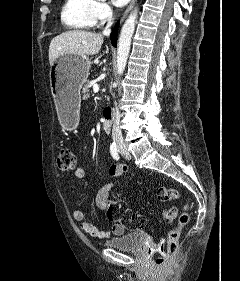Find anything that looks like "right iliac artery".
Segmentation results:
<instances>
[{"label": "right iliac artery", "instance_id": "82829eb1", "mask_svg": "<svg viewBox=\"0 0 240 281\" xmlns=\"http://www.w3.org/2000/svg\"><path fill=\"white\" fill-rule=\"evenodd\" d=\"M110 152H111V155L114 159L118 160L119 159V153H118V148L116 146L115 143L111 144L110 146Z\"/></svg>", "mask_w": 240, "mask_h": 281}]
</instances>
